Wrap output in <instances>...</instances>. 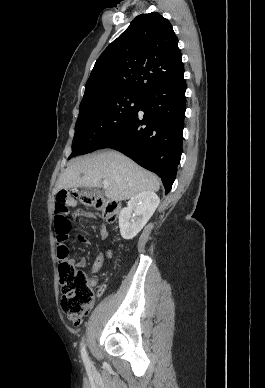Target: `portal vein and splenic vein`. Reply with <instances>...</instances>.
Wrapping results in <instances>:
<instances>
[{
	"label": "portal vein and splenic vein",
	"mask_w": 265,
	"mask_h": 388,
	"mask_svg": "<svg viewBox=\"0 0 265 388\" xmlns=\"http://www.w3.org/2000/svg\"><path fill=\"white\" fill-rule=\"evenodd\" d=\"M102 184H103L104 188H108V186H109V182H107V180H103Z\"/></svg>",
	"instance_id": "1"
}]
</instances>
